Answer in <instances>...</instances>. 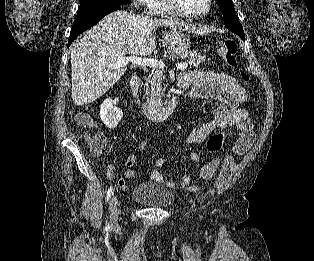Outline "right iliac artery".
Wrapping results in <instances>:
<instances>
[{
	"instance_id": "1",
	"label": "right iliac artery",
	"mask_w": 314,
	"mask_h": 261,
	"mask_svg": "<svg viewBox=\"0 0 314 261\" xmlns=\"http://www.w3.org/2000/svg\"><path fill=\"white\" fill-rule=\"evenodd\" d=\"M111 195H113V188H112V186L107 190L106 202L109 201ZM108 227H109V226H108Z\"/></svg>"
}]
</instances>
